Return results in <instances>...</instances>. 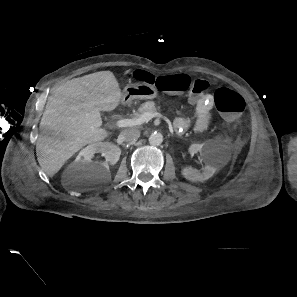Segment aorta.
<instances>
[{
    "label": "aorta",
    "instance_id": "762f6f07",
    "mask_svg": "<svg viewBox=\"0 0 297 297\" xmlns=\"http://www.w3.org/2000/svg\"><path fill=\"white\" fill-rule=\"evenodd\" d=\"M148 141L153 146H159L163 142V135L159 132L152 133Z\"/></svg>",
    "mask_w": 297,
    "mask_h": 297
}]
</instances>
